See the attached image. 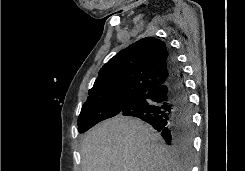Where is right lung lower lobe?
I'll return each mask as SVG.
<instances>
[{
    "label": "right lung lower lobe",
    "mask_w": 245,
    "mask_h": 171,
    "mask_svg": "<svg viewBox=\"0 0 245 171\" xmlns=\"http://www.w3.org/2000/svg\"><path fill=\"white\" fill-rule=\"evenodd\" d=\"M167 81L126 103L120 114L149 123L160 132L176 154L187 158L192 151L193 123L191 106L181 69L169 50Z\"/></svg>",
    "instance_id": "right-lung-lower-lobe-1"
}]
</instances>
